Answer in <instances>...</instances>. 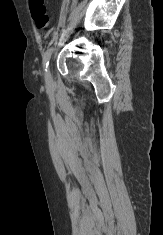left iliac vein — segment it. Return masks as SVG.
Masks as SVG:
<instances>
[{
    "mask_svg": "<svg viewBox=\"0 0 163 235\" xmlns=\"http://www.w3.org/2000/svg\"><path fill=\"white\" fill-rule=\"evenodd\" d=\"M46 81L48 83L52 82V72H51V67L50 66L46 69Z\"/></svg>",
    "mask_w": 163,
    "mask_h": 235,
    "instance_id": "1",
    "label": "left iliac vein"
}]
</instances>
